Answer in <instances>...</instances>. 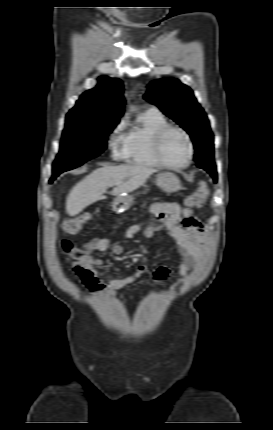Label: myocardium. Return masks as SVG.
<instances>
[{"instance_id":"1","label":"myocardium","mask_w":273,"mask_h":430,"mask_svg":"<svg viewBox=\"0 0 273 430\" xmlns=\"http://www.w3.org/2000/svg\"><path fill=\"white\" fill-rule=\"evenodd\" d=\"M170 131H178L180 132L186 139L187 145H188V157L185 163L181 165H174L166 162L162 156V143L166 136V134ZM153 153L156 161L158 164L164 168L171 169V170H183L187 168L193 160L194 157V147L192 139L189 135V133L182 127L177 125H171L167 124L163 127H161L156 134L154 135L153 139Z\"/></svg>"}]
</instances>
